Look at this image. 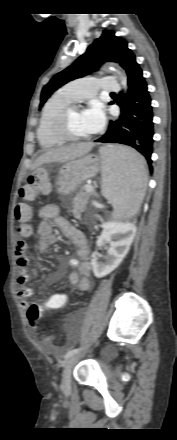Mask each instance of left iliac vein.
<instances>
[{
  "label": "left iliac vein",
  "mask_w": 177,
  "mask_h": 440,
  "mask_svg": "<svg viewBox=\"0 0 177 440\" xmlns=\"http://www.w3.org/2000/svg\"><path fill=\"white\" fill-rule=\"evenodd\" d=\"M78 360V355L69 357L64 363V369L62 373L61 388L63 391H68L71 386V373L74 365Z\"/></svg>",
  "instance_id": "1"
}]
</instances>
